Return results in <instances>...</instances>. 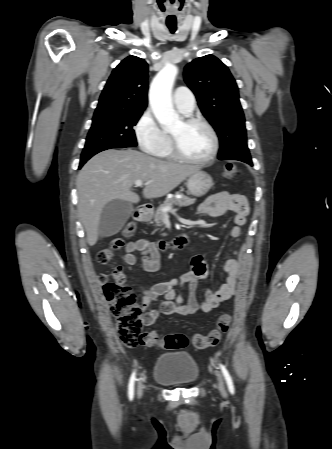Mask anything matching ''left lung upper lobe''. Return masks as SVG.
<instances>
[{"label":"left lung upper lobe","instance_id":"obj_1","mask_svg":"<svg viewBox=\"0 0 332 449\" xmlns=\"http://www.w3.org/2000/svg\"><path fill=\"white\" fill-rule=\"evenodd\" d=\"M184 79L220 141V160H251L237 84L228 67L213 55L187 64Z\"/></svg>","mask_w":332,"mask_h":449}]
</instances>
